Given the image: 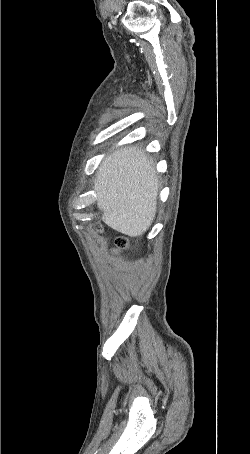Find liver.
Instances as JSON below:
<instances>
[{"mask_svg":"<svg viewBox=\"0 0 250 454\" xmlns=\"http://www.w3.org/2000/svg\"><path fill=\"white\" fill-rule=\"evenodd\" d=\"M158 189L153 161L137 146L124 147L107 156L94 183L102 220L130 237L142 236L151 226Z\"/></svg>","mask_w":250,"mask_h":454,"instance_id":"liver-1","label":"liver"}]
</instances>
